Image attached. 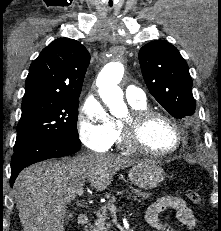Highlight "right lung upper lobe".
Here are the masks:
<instances>
[{
	"mask_svg": "<svg viewBox=\"0 0 221 231\" xmlns=\"http://www.w3.org/2000/svg\"><path fill=\"white\" fill-rule=\"evenodd\" d=\"M90 54L76 40L58 38L32 62L23 100L80 96Z\"/></svg>",
	"mask_w": 221,
	"mask_h": 231,
	"instance_id": "1",
	"label": "right lung upper lobe"
}]
</instances>
